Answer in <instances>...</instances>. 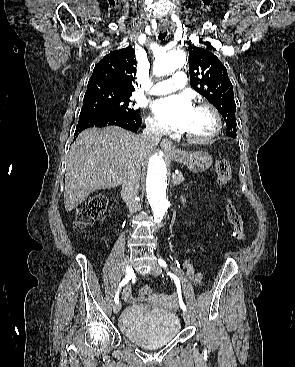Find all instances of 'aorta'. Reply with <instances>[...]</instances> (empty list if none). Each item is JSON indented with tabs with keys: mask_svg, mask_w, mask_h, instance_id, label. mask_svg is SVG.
<instances>
[{
	"mask_svg": "<svg viewBox=\"0 0 295 367\" xmlns=\"http://www.w3.org/2000/svg\"><path fill=\"white\" fill-rule=\"evenodd\" d=\"M186 63V54L175 49L159 56L154 64L156 75H166ZM168 170L162 152L155 153L149 160L146 173V194L156 222H160L168 209Z\"/></svg>",
	"mask_w": 295,
	"mask_h": 367,
	"instance_id": "762f6f07",
	"label": "aorta"
}]
</instances>
